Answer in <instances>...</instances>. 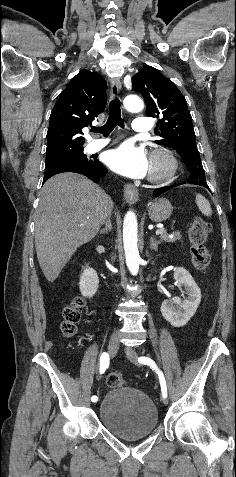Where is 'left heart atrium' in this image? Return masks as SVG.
<instances>
[{
    "label": "left heart atrium",
    "instance_id": "39dd6f15",
    "mask_svg": "<svg viewBox=\"0 0 236 477\" xmlns=\"http://www.w3.org/2000/svg\"><path fill=\"white\" fill-rule=\"evenodd\" d=\"M105 162L115 172L130 178L145 177L151 167L145 149L131 142H125L109 150L106 153Z\"/></svg>",
    "mask_w": 236,
    "mask_h": 477
}]
</instances>
